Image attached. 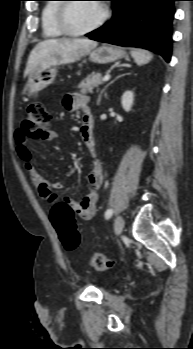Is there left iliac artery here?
I'll list each match as a JSON object with an SVG mask.
<instances>
[{"label": "left iliac artery", "instance_id": "left-iliac-artery-1", "mask_svg": "<svg viewBox=\"0 0 193 349\" xmlns=\"http://www.w3.org/2000/svg\"><path fill=\"white\" fill-rule=\"evenodd\" d=\"M113 211L111 209H108L106 212H105V218L106 219H109L110 216L112 215Z\"/></svg>", "mask_w": 193, "mask_h": 349}]
</instances>
